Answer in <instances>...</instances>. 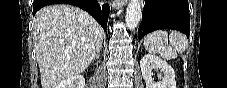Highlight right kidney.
<instances>
[{
  "mask_svg": "<svg viewBox=\"0 0 227 88\" xmlns=\"http://www.w3.org/2000/svg\"><path fill=\"white\" fill-rule=\"evenodd\" d=\"M85 79L82 75H75L64 79L55 88H84Z\"/></svg>",
  "mask_w": 227,
  "mask_h": 88,
  "instance_id": "obj_1",
  "label": "right kidney"
}]
</instances>
